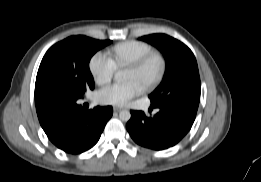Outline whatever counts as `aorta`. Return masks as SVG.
<instances>
[{
  "mask_svg": "<svg viewBox=\"0 0 261 182\" xmlns=\"http://www.w3.org/2000/svg\"><path fill=\"white\" fill-rule=\"evenodd\" d=\"M124 77V71H118L115 74V79L117 82H121L123 80ZM119 118L121 121H129L131 118V113L128 110H122L119 113Z\"/></svg>",
  "mask_w": 261,
  "mask_h": 182,
  "instance_id": "1",
  "label": "aorta"
}]
</instances>
